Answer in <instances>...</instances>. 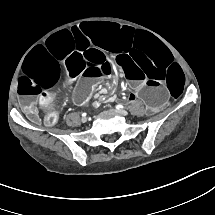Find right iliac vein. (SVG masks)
Listing matches in <instances>:
<instances>
[{
    "mask_svg": "<svg viewBox=\"0 0 215 215\" xmlns=\"http://www.w3.org/2000/svg\"><path fill=\"white\" fill-rule=\"evenodd\" d=\"M87 121V118L86 117H83L82 118V122H86Z\"/></svg>",
    "mask_w": 215,
    "mask_h": 215,
    "instance_id": "1",
    "label": "right iliac vein"
}]
</instances>
